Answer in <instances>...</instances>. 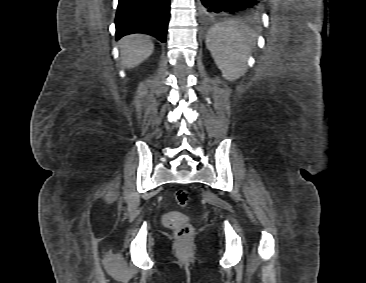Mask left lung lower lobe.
<instances>
[{"label": "left lung lower lobe", "instance_id": "0a47b994", "mask_svg": "<svg viewBox=\"0 0 366 283\" xmlns=\"http://www.w3.org/2000/svg\"><path fill=\"white\" fill-rule=\"evenodd\" d=\"M201 11L204 16L216 14H235L240 11H257L261 7V0H200Z\"/></svg>", "mask_w": 366, "mask_h": 283}]
</instances>
